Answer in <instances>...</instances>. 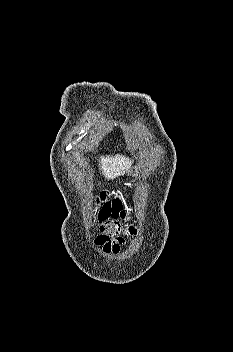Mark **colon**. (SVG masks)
<instances>
[{
  "label": "colon",
  "mask_w": 233,
  "mask_h": 352,
  "mask_svg": "<svg viewBox=\"0 0 233 352\" xmlns=\"http://www.w3.org/2000/svg\"><path fill=\"white\" fill-rule=\"evenodd\" d=\"M100 237L105 239H115L120 236V234L125 235H133L135 233V229L132 227L124 228L119 221L115 219H107L100 221Z\"/></svg>",
  "instance_id": "1"
}]
</instances>
